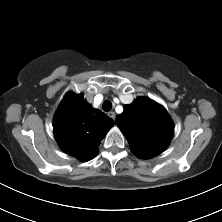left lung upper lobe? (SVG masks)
Returning a JSON list of instances; mask_svg holds the SVG:
<instances>
[{
	"label": "left lung upper lobe",
	"instance_id": "5c2ea615",
	"mask_svg": "<svg viewBox=\"0 0 222 222\" xmlns=\"http://www.w3.org/2000/svg\"><path fill=\"white\" fill-rule=\"evenodd\" d=\"M133 154L149 159L160 154L173 137V123L167 111L155 101L139 97L124 105L115 120Z\"/></svg>",
	"mask_w": 222,
	"mask_h": 222
}]
</instances>
